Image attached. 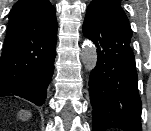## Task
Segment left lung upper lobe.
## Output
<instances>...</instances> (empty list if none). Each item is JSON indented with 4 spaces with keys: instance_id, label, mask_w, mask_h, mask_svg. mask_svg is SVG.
Segmentation results:
<instances>
[{
    "instance_id": "obj_1",
    "label": "left lung upper lobe",
    "mask_w": 151,
    "mask_h": 131,
    "mask_svg": "<svg viewBox=\"0 0 151 131\" xmlns=\"http://www.w3.org/2000/svg\"><path fill=\"white\" fill-rule=\"evenodd\" d=\"M95 8H110L112 10H117L126 17L124 11L120 7V0H93L88 6L87 11Z\"/></svg>"
}]
</instances>
